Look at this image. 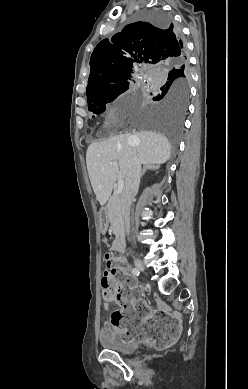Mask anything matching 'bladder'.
<instances>
[{"label":"bladder","instance_id":"31cf9c89","mask_svg":"<svg viewBox=\"0 0 248 389\" xmlns=\"http://www.w3.org/2000/svg\"><path fill=\"white\" fill-rule=\"evenodd\" d=\"M99 340L105 350L114 351L119 354H131L140 347L139 342L124 340L122 333L119 331L102 332Z\"/></svg>","mask_w":248,"mask_h":389}]
</instances>
